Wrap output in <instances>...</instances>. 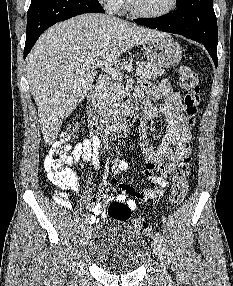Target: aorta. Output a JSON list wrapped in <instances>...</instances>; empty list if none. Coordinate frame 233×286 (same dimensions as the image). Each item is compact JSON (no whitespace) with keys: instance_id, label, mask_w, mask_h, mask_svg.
<instances>
[{"instance_id":"762f6f07","label":"aorta","mask_w":233,"mask_h":286,"mask_svg":"<svg viewBox=\"0 0 233 286\" xmlns=\"http://www.w3.org/2000/svg\"><path fill=\"white\" fill-rule=\"evenodd\" d=\"M117 127L120 132H122L125 129V120L123 118V115H120L117 119Z\"/></svg>"}]
</instances>
